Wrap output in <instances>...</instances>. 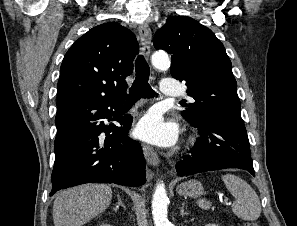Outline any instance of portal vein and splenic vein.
<instances>
[{
  "label": "portal vein and splenic vein",
  "instance_id": "portal-vein-and-splenic-vein-1",
  "mask_svg": "<svg viewBox=\"0 0 297 226\" xmlns=\"http://www.w3.org/2000/svg\"><path fill=\"white\" fill-rule=\"evenodd\" d=\"M227 202H228L227 199H225V200H224V203H227Z\"/></svg>",
  "mask_w": 297,
  "mask_h": 226
}]
</instances>
